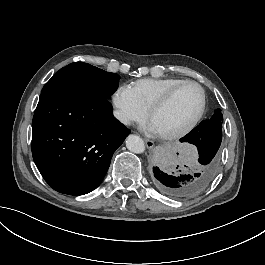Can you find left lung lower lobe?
<instances>
[{
  "mask_svg": "<svg viewBox=\"0 0 265 265\" xmlns=\"http://www.w3.org/2000/svg\"><path fill=\"white\" fill-rule=\"evenodd\" d=\"M180 141L188 142L198 150V160L192 169L177 167V170H172L171 157L162 153L155 161L150 179L161 194L173 199H190L204 192L218 173L222 129L203 121Z\"/></svg>",
  "mask_w": 265,
  "mask_h": 265,
  "instance_id": "1",
  "label": "left lung lower lobe"
}]
</instances>
